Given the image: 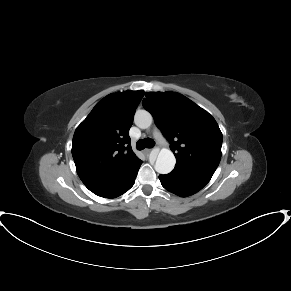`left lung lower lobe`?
Returning a JSON list of instances; mask_svg holds the SVG:
<instances>
[{
    "mask_svg": "<svg viewBox=\"0 0 291 291\" xmlns=\"http://www.w3.org/2000/svg\"><path fill=\"white\" fill-rule=\"evenodd\" d=\"M211 177L174 168L171 173L160 175L159 179L165 189L181 197H186L201 190Z\"/></svg>",
    "mask_w": 291,
    "mask_h": 291,
    "instance_id": "1",
    "label": "left lung lower lobe"
}]
</instances>
